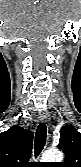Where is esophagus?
Returning <instances> with one entry per match:
<instances>
[{"instance_id":"34e87169","label":"esophagus","mask_w":81,"mask_h":167,"mask_svg":"<svg viewBox=\"0 0 81 167\" xmlns=\"http://www.w3.org/2000/svg\"><path fill=\"white\" fill-rule=\"evenodd\" d=\"M40 121L47 124L48 126L51 125V116L48 112H42L39 116Z\"/></svg>"}]
</instances>
